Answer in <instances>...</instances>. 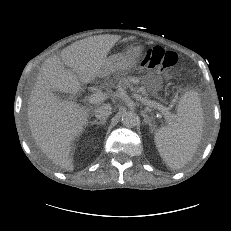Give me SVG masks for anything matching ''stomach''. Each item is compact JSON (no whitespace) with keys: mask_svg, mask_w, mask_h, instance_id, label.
<instances>
[{"mask_svg":"<svg viewBox=\"0 0 231 231\" xmlns=\"http://www.w3.org/2000/svg\"><path fill=\"white\" fill-rule=\"evenodd\" d=\"M143 46L140 44L129 45L124 52L114 54L108 57L102 72V77H109L112 74L125 75L130 72L141 56ZM142 84L151 94H155L158 87L162 84L160 76L148 74L141 78Z\"/></svg>","mask_w":231,"mask_h":231,"instance_id":"0dacf381","label":"stomach"}]
</instances>
